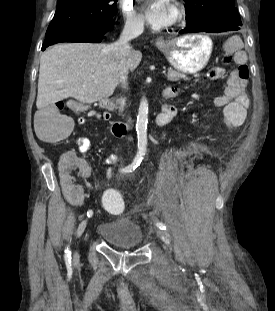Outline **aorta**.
<instances>
[{
  "label": "aorta",
  "mask_w": 275,
  "mask_h": 311,
  "mask_svg": "<svg viewBox=\"0 0 275 311\" xmlns=\"http://www.w3.org/2000/svg\"><path fill=\"white\" fill-rule=\"evenodd\" d=\"M147 122H148V103H147L146 98H143L139 105L137 123H136L139 153L146 152Z\"/></svg>",
  "instance_id": "obj_1"
}]
</instances>
